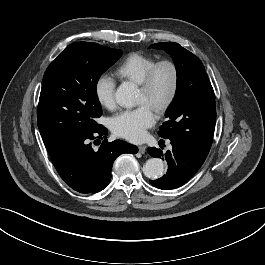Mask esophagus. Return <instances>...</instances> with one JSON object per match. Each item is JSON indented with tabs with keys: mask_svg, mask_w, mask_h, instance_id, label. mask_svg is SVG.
Here are the masks:
<instances>
[{
	"mask_svg": "<svg viewBox=\"0 0 265 265\" xmlns=\"http://www.w3.org/2000/svg\"><path fill=\"white\" fill-rule=\"evenodd\" d=\"M138 150L141 154H144L146 152V146L140 145V146H138Z\"/></svg>",
	"mask_w": 265,
	"mask_h": 265,
	"instance_id": "34e87169",
	"label": "esophagus"
}]
</instances>
